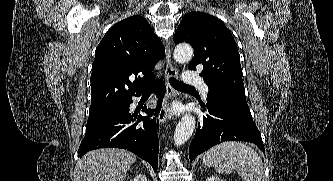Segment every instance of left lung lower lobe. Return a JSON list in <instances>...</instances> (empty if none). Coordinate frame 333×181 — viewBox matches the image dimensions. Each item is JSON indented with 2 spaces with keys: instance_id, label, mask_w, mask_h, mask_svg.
<instances>
[{
  "instance_id": "left-lung-lower-lobe-1",
  "label": "left lung lower lobe",
  "mask_w": 333,
  "mask_h": 181,
  "mask_svg": "<svg viewBox=\"0 0 333 181\" xmlns=\"http://www.w3.org/2000/svg\"><path fill=\"white\" fill-rule=\"evenodd\" d=\"M207 113L198 124L189 148L190 161L210 147L225 141L241 140L257 145L263 152L261 134L254 123L250 110L228 106L208 93Z\"/></svg>"
}]
</instances>
